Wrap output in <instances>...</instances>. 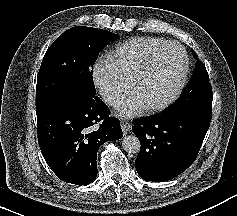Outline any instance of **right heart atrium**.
Here are the masks:
<instances>
[{
	"instance_id": "d8ad5b80",
	"label": "right heart atrium",
	"mask_w": 237,
	"mask_h": 216,
	"mask_svg": "<svg viewBox=\"0 0 237 216\" xmlns=\"http://www.w3.org/2000/svg\"><path fill=\"white\" fill-rule=\"evenodd\" d=\"M90 84L100 91L111 101L118 103L125 97V90L111 77H107L101 69L90 72Z\"/></svg>"
}]
</instances>
